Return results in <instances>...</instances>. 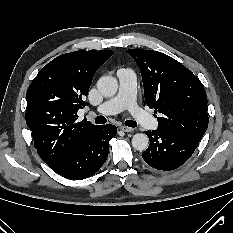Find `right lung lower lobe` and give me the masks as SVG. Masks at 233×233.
<instances>
[{
	"label": "right lung lower lobe",
	"instance_id": "98d812e1",
	"mask_svg": "<svg viewBox=\"0 0 233 233\" xmlns=\"http://www.w3.org/2000/svg\"><path fill=\"white\" fill-rule=\"evenodd\" d=\"M117 133L112 124L98 126L76 147L48 166L60 176L81 180L95 174L105 163L109 153V141Z\"/></svg>",
	"mask_w": 233,
	"mask_h": 233
}]
</instances>
